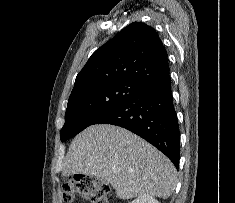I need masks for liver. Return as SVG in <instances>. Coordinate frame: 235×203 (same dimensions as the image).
<instances>
[{"label": "liver", "mask_w": 235, "mask_h": 203, "mask_svg": "<svg viewBox=\"0 0 235 203\" xmlns=\"http://www.w3.org/2000/svg\"><path fill=\"white\" fill-rule=\"evenodd\" d=\"M84 174L108 181L120 199L168 198L176 184L172 162L154 146L119 126L96 124L70 144L63 175Z\"/></svg>", "instance_id": "6515ba94"}]
</instances>
